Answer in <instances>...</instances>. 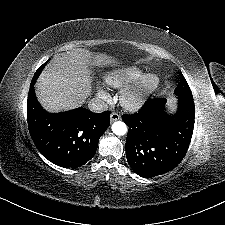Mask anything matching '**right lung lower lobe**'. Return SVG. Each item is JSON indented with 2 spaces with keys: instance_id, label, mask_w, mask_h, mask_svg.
<instances>
[{
  "instance_id": "obj_1",
  "label": "right lung lower lobe",
  "mask_w": 225,
  "mask_h": 225,
  "mask_svg": "<svg viewBox=\"0 0 225 225\" xmlns=\"http://www.w3.org/2000/svg\"><path fill=\"white\" fill-rule=\"evenodd\" d=\"M109 117L110 112L93 113L85 108L48 113L30 85L27 121L31 138L42 155L58 166L77 168L89 161L109 126Z\"/></svg>"
}]
</instances>
